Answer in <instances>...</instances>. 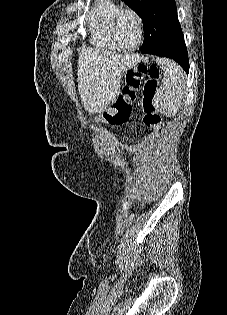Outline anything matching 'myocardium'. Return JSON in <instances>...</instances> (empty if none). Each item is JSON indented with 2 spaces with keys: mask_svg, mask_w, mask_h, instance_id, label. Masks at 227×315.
I'll return each instance as SVG.
<instances>
[{
  "mask_svg": "<svg viewBox=\"0 0 227 315\" xmlns=\"http://www.w3.org/2000/svg\"><path fill=\"white\" fill-rule=\"evenodd\" d=\"M124 14H131L136 19L137 24H138V41L134 46H131V47L123 46L119 42V40L116 36V32H115L116 26ZM110 36H111L113 43L119 49H122L124 51H134V50L138 49L142 45L143 40H144V20H143L142 16L140 15V13L137 10L130 8V7L120 8L116 12L114 17L112 18L111 25H110Z\"/></svg>",
  "mask_w": 227,
  "mask_h": 315,
  "instance_id": "obj_1",
  "label": "myocardium"
}]
</instances>
